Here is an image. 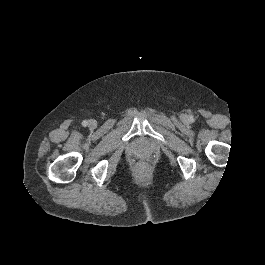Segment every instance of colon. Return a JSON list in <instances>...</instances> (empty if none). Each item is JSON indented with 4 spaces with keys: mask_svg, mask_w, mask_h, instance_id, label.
<instances>
[{
    "mask_svg": "<svg viewBox=\"0 0 265 265\" xmlns=\"http://www.w3.org/2000/svg\"><path fill=\"white\" fill-rule=\"evenodd\" d=\"M136 167L138 170H145L147 168V165L145 162H138Z\"/></svg>",
    "mask_w": 265,
    "mask_h": 265,
    "instance_id": "5ec220e1",
    "label": "colon"
}]
</instances>
